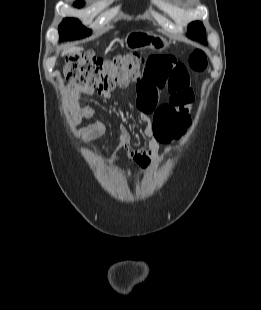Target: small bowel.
<instances>
[{
    "instance_id": "small-bowel-1",
    "label": "small bowel",
    "mask_w": 261,
    "mask_h": 310,
    "mask_svg": "<svg viewBox=\"0 0 261 310\" xmlns=\"http://www.w3.org/2000/svg\"><path fill=\"white\" fill-rule=\"evenodd\" d=\"M169 92V101L157 106L159 93ZM94 89L89 86L72 84L67 93L74 99L82 94H92ZM140 118L144 123V134L150 138L145 150H130L131 135L126 126L120 127V150L127 151L128 162L140 170L151 165V159L161 152L169 153L172 147L168 144L180 138L189 125V112L194 102V95L189 86L186 67L166 54H155L147 59L144 76L136 87ZM104 99L111 97L110 92H101ZM95 114L92 107H74L73 122L91 119ZM105 131L103 123L96 121L88 125L82 132L84 142L100 137ZM162 145H166L162 149ZM118 154L106 160L109 165L116 163Z\"/></svg>"
}]
</instances>
